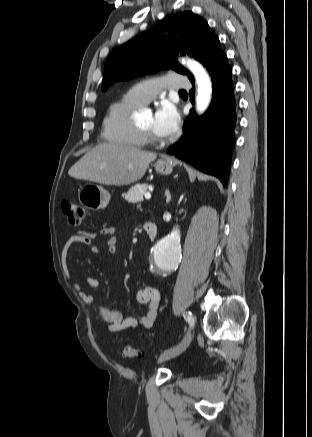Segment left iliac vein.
I'll return each mask as SVG.
<instances>
[{"mask_svg":"<svg viewBox=\"0 0 312 437\" xmlns=\"http://www.w3.org/2000/svg\"><path fill=\"white\" fill-rule=\"evenodd\" d=\"M192 331L189 330L187 332V334L183 337V339L174 347H172L171 349L165 351L161 356L159 361L163 362L166 360H169L171 358H174L178 355H180L182 352H184L187 347L189 346L191 339H192Z\"/></svg>","mask_w":312,"mask_h":437,"instance_id":"4c4485c4","label":"left iliac vein"}]
</instances>
